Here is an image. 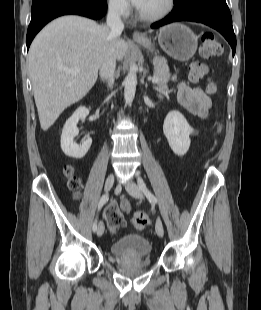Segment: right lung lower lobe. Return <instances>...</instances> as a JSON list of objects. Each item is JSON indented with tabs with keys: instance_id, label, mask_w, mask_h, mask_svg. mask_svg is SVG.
<instances>
[{
	"instance_id": "1",
	"label": "right lung lower lobe",
	"mask_w": 261,
	"mask_h": 310,
	"mask_svg": "<svg viewBox=\"0 0 261 310\" xmlns=\"http://www.w3.org/2000/svg\"><path fill=\"white\" fill-rule=\"evenodd\" d=\"M106 10V0H33L27 48L41 28L58 16L76 14L99 19L105 15Z\"/></svg>"
}]
</instances>
